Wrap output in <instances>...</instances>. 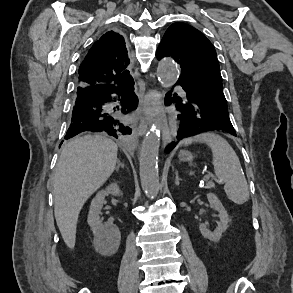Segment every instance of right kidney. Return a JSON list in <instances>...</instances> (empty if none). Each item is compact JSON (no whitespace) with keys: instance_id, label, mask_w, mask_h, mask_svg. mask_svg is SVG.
<instances>
[{"instance_id":"1","label":"right kidney","mask_w":293,"mask_h":293,"mask_svg":"<svg viewBox=\"0 0 293 293\" xmlns=\"http://www.w3.org/2000/svg\"><path fill=\"white\" fill-rule=\"evenodd\" d=\"M112 194L121 196V190L117 183H112L106 187L105 190L99 191L93 198L88 214L87 222L98 240L99 247H112L118 248L121 236L119 229L113 223L102 224L100 220V211L103 206L105 196Z\"/></svg>"}]
</instances>
